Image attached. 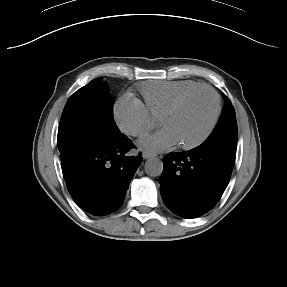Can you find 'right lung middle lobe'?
<instances>
[{
    "mask_svg": "<svg viewBox=\"0 0 287 287\" xmlns=\"http://www.w3.org/2000/svg\"><path fill=\"white\" fill-rule=\"evenodd\" d=\"M108 84L96 78L77 90L63 110L57 137L60 159L120 136Z\"/></svg>",
    "mask_w": 287,
    "mask_h": 287,
    "instance_id": "dd1d6c3e",
    "label": "right lung middle lobe"
}]
</instances>
